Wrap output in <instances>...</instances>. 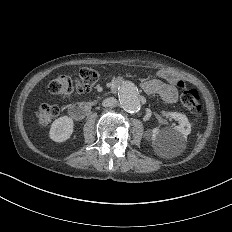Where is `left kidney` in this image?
Instances as JSON below:
<instances>
[{
  "instance_id": "obj_1",
  "label": "left kidney",
  "mask_w": 232,
  "mask_h": 232,
  "mask_svg": "<svg viewBox=\"0 0 232 232\" xmlns=\"http://www.w3.org/2000/svg\"><path fill=\"white\" fill-rule=\"evenodd\" d=\"M160 116L175 119L179 125L173 128L152 129V147L155 152L166 153L183 151L187 143V135L191 132V124L185 114L162 110Z\"/></svg>"
}]
</instances>
